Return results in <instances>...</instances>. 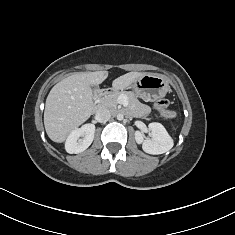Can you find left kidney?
Returning <instances> with one entry per match:
<instances>
[{
  "instance_id": "obj_1",
  "label": "left kidney",
  "mask_w": 235,
  "mask_h": 235,
  "mask_svg": "<svg viewBox=\"0 0 235 235\" xmlns=\"http://www.w3.org/2000/svg\"><path fill=\"white\" fill-rule=\"evenodd\" d=\"M148 127L152 133L151 139H144V135L140 131L135 132L136 142L142 144V148L146 153L163 154L173 147V140L162 124L153 122Z\"/></svg>"
}]
</instances>
